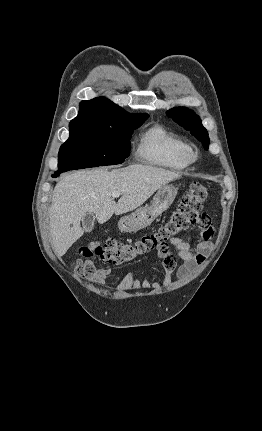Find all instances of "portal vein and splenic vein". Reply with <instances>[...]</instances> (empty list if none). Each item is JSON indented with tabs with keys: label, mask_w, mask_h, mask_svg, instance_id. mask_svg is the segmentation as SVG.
I'll use <instances>...</instances> for the list:
<instances>
[{
	"label": "portal vein and splenic vein",
	"mask_w": 262,
	"mask_h": 431,
	"mask_svg": "<svg viewBox=\"0 0 262 431\" xmlns=\"http://www.w3.org/2000/svg\"><path fill=\"white\" fill-rule=\"evenodd\" d=\"M111 196H112L113 198H118V197L120 196V192L115 191V192H113V193L111 194Z\"/></svg>",
	"instance_id": "1"
}]
</instances>
